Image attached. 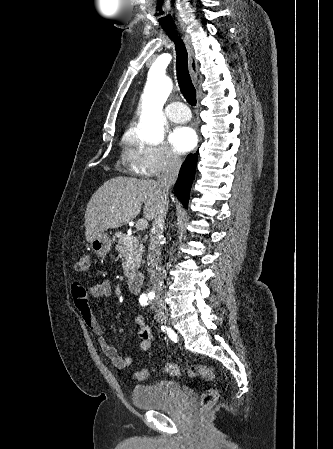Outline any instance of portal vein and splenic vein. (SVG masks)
<instances>
[{
	"instance_id": "1",
	"label": "portal vein and splenic vein",
	"mask_w": 333,
	"mask_h": 449,
	"mask_svg": "<svg viewBox=\"0 0 333 449\" xmlns=\"http://www.w3.org/2000/svg\"><path fill=\"white\" fill-rule=\"evenodd\" d=\"M147 226H148V222H147V220H144V219L138 220V222L136 223V228L138 230H143Z\"/></svg>"
}]
</instances>
